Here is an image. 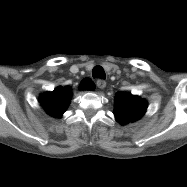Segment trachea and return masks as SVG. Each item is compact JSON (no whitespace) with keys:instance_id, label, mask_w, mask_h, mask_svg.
Masks as SVG:
<instances>
[{"instance_id":"obj_1","label":"trachea","mask_w":187,"mask_h":187,"mask_svg":"<svg viewBox=\"0 0 187 187\" xmlns=\"http://www.w3.org/2000/svg\"><path fill=\"white\" fill-rule=\"evenodd\" d=\"M92 76H93V78H100V79H105L106 78L105 71L101 66H95L93 68Z\"/></svg>"}]
</instances>
